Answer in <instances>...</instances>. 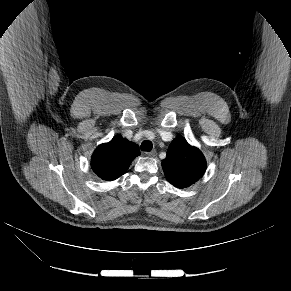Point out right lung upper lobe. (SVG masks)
Listing matches in <instances>:
<instances>
[{
    "instance_id": "right-lung-upper-lobe-1",
    "label": "right lung upper lobe",
    "mask_w": 291,
    "mask_h": 291,
    "mask_svg": "<svg viewBox=\"0 0 291 291\" xmlns=\"http://www.w3.org/2000/svg\"><path fill=\"white\" fill-rule=\"evenodd\" d=\"M139 155L137 145L118 134L110 142L97 147L92 155L91 167L101 179L113 181L123 175Z\"/></svg>"
}]
</instances>
